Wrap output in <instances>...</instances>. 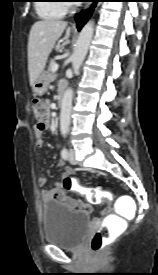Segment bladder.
Masks as SVG:
<instances>
[{"mask_svg":"<svg viewBox=\"0 0 158 275\" xmlns=\"http://www.w3.org/2000/svg\"><path fill=\"white\" fill-rule=\"evenodd\" d=\"M42 215L44 240L63 249H77L91 223L90 216L85 212L57 202L45 203Z\"/></svg>","mask_w":158,"mask_h":275,"instance_id":"1","label":"bladder"}]
</instances>
